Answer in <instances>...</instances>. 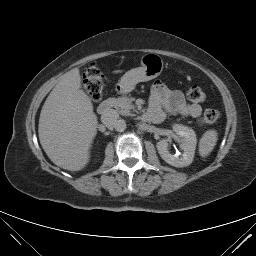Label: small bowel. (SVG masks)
Masks as SVG:
<instances>
[{
    "label": "small bowel",
    "mask_w": 256,
    "mask_h": 256,
    "mask_svg": "<svg viewBox=\"0 0 256 256\" xmlns=\"http://www.w3.org/2000/svg\"><path fill=\"white\" fill-rule=\"evenodd\" d=\"M166 113L196 118L201 115L202 107L187 102L181 91L171 90L164 84L156 82L151 88L147 118L161 122L165 119Z\"/></svg>",
    "instance_id": "c3829d8e"
}]
</instances>
